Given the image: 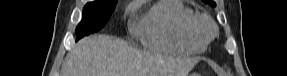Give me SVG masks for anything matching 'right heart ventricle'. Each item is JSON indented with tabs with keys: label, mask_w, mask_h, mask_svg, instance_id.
Returning a JSON list of instances; mask_svg holds the SVG:
<instances>
[{
	"label": "right heart ventricle",
	"mask_w": 287,
	"mask_h": 76,
	"mask_svg": "<svg viewBox=\"0 0 287 76\" xmlns=\"http://www.w3.org/2000/svg\"><path fill=\"white\" fill-rule=\"evenodd\" d=\"M196 14L180 0L158 2L139 21L134 31L149 49L195 54L202 52L207 43L193 32Z\"/></svg>",
	"instance_id": "right-heart-ventricle-1"
}]
</instances>
